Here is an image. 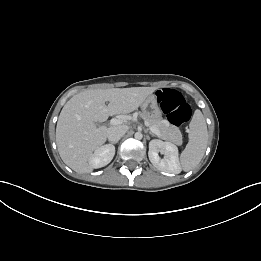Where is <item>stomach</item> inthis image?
Wrapping results in <instances>:
<instances>
[{
  "label": "stomach",
  "instance_id": "0dacf381",
  "mask_svg": "<svg viewBox=\"0 0 261 261\" xmlns=\"http://www.w3.org/2000/svg\"><path fill=\"white\" fill-rule=\"evenodd\" d=\"M143 113L148 117L160 114V109L155 95H150L141 105Z\"/></svg>",
  "mask_w": 261,
  "mask_h": 261
}]
</instances>
